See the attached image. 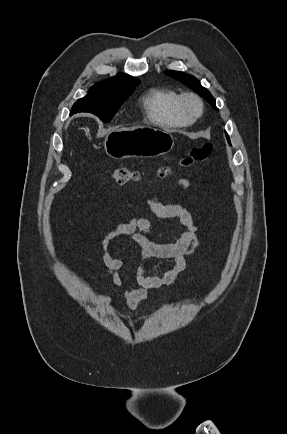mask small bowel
I'll list each match as a JSON object with an SVG mask.
<instances>
[{
    "label": "small bowel",
    "mask_w": 287,
    "mask_h": 434,
    "mask_svg": "<svg viewBox=\"0 0 287 434\" xmlns=\"http://www.w3.org/2000/svg\"><path fill=\"white\" fill-rule=\"evenodd\" d=\"M192 176L176 180L175 184L183 190L191 185ZM136 203L149 209L157 218L176 219L184 227L181 237L171 243L156 242L151 236V225L146 219L131 218L127 223L112 226L100 240V255L104 267L102 272L113 279L118 288L123 287L119 270L125 265L121 257H112L107 251V244L118 235H127L140 248L141 261L134 271L136 287H125L126 306L133 310L148 299V291L175 284L178 276L187 266V258L191 256L200 243V228L194 221L193 210L179 203H162L153 195H144ZM152 258L171 259L172 265L161 276L145 274L146 263ZM99 298L106 304L112 301L106 294Z\"/></svg>",
    "instance_id": "small-bowel-1"
}]
</instances>
